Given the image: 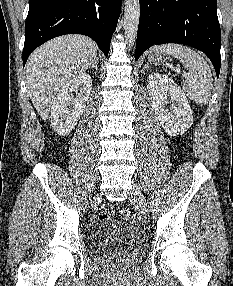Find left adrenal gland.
I'll use <instances>...</instances> for the list:
<instances>
[{
	"mask_svg": "<svg viewBox=\"0 0 233 286\" xmlns=\"http://www.w3.org/2000/svg\"><path fill=\"white\" fill-rule=\"evenodd\" d=\"M149 68H150V67H149V63H146V64L144 65L142 71H145V69H149Z\"/></svg>",
	"mask_w": 233,
	"mask_h": 286,
	"instance_id": "left-adrenal-gland-1",
	"label": "left adrenal gland"
}]
</instances>
